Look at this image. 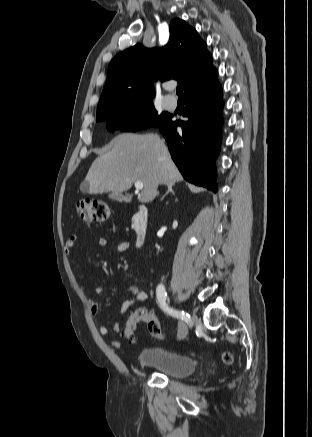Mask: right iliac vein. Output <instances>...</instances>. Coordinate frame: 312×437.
<instances>
[{
	"mask_svg": "<svg viewBox=\"0 0 312 437\" xmlns=\"http://www.w3.org/2000/svg\"><path fill=\"white\" fill-rule=\"evenodd\" d=\"M192 320L193 321L195 320L194 316H192ZM179 329H180V337L182 338L186 334V330H187L186 324L184 322H180Z\"/></svg>",
	"mask_w": 312,
	"mask_h": 437,
	"instance_id": "obj_1",
	"label": "right iliac vein"
}]
</instances>
